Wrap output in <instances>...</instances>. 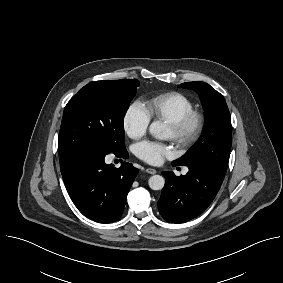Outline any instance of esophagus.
Segmentation results:
<instances>
[{
  "label": "esophagus",
  "mask_w": 283,
  "mask_h": 283,
  "mask_svg": "<svg viewBox=\"0 0 283 283\" xmlns=\"http://www.w3.org/2000/svg\"><path fill=\"white\" fill-rule=\"evenodd\" d=\"M146 172L149 173V174H156L157 173L156 169L150 168V167L146 169Z\"/></svg>",
  "instance_id": "esophagus-1"
}]
</instances>
